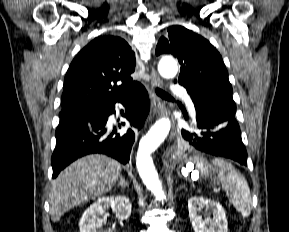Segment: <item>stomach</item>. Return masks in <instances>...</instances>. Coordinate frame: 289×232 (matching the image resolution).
Here are the masks:
<instances>
[{
    "label": "stomach",
    "instance_id": "1",
    "mask_svg": "<svg viewBox=\"0 0 289 232\" xmlns=\"http://www.w3.org/2000/svg\"><path fill=\"white\" fill-rule=\"evenodd\" d=\"M204 165H205V167H206V169H205V172H204V175H206L207 173H208V171H209V167H208V165L206 164V163H204V162H202Z\"/></svg>",
    "mask_w": 289,
    "mask_h": 232
}]
</instances>
